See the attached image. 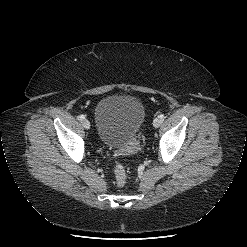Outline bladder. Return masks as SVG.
Wrapping results in <instances>:
<instances>
[{
	"instance_id": "obj_1",
	"label": "bladder",
	"mask_w": 247,
	"mask_h": 247,
	"mask_svg": "<svg viewBox=\"0 0 247 247\" xmlns=\"http://www.w3.org/2000/svg\"><path fill=\"white\" fill-rule=\"evenodd\" d=\"M144 119V105L131 95L105 97L95 108L100 143L122 154H130L136 149L137 136Z\"/></svg>"
}]
</instances>
